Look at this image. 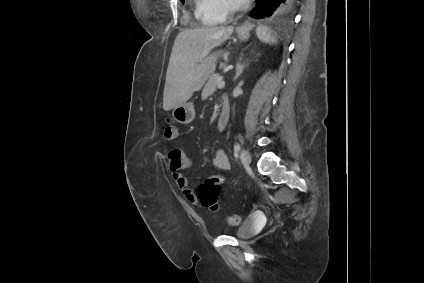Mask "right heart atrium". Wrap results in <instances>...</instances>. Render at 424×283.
Masks as SVG:
<instances>
[{
    "mask_svg": "<svg viewBox=\"0 0 424 283\" xmlns=\"http://www.w3.org/2000/svg\"><path fill=\"white\" fill-rule=\"evenodd\" d=\"M211 3L213 9L221 16L226 17L234 11V0H207Z\"/></svg>",
    "mask_w": 424,
    "mask_h": 283,
    "instance_id": "obj_1",
    "label": "right heart atrium"
}]
</instances>
